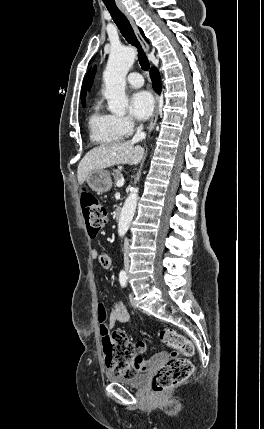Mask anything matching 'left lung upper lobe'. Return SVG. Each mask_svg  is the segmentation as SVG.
Returning a JSON list of instances; mask_svg holds the SVG:
<instances>
[{
    "label": "left lung upper lobe",
    "instance_id": "obj_1",
    "mask_svg": "<svg viewBox=\"0 0 264 429\" xmlns=\"http://www.w3.org/2000/svg\"><path fill=\"white\" fill-rule=\"evenodd\" d=\"M94 70H95V68H94ZM94 70H93V72H92V74H91V77H90V81H89V89H90V87H91V85H92V83H93Z\"/></svg>",
    "mask_w": 264,
    "mask_h": 429
}]
</instances>
